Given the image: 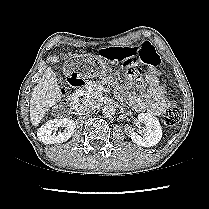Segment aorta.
Here are the masks:
<instances>
[{
    "label": "aorta",
    "instance_id": "1",
    "mask_svg": "<svg viewBox=\"0 0 209 209\" xmlns=\"http://www.w3.org/2000/svg\"><path fill=\"white\" fill-rule=\"evenodd\" d=\"M115 107L113 106V105H110V104H108V105H105L104 107H103V109H102V113H103V115L104 116H106V117H111V116H113L114 114H115Z\"/></svg>",
    "mask_w": 209,
    "mask_h": 209
}]
</instances>
